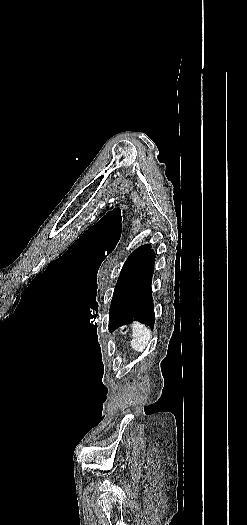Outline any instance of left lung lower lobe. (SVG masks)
Wrapping results in <instances>:
<instances>
[{
  "label": "left lung lower lobe",
  "instance_id": "obj_1",
  "mask_svg": "<svg viewBox=\"0 0 247 525\" xmlns=\"http://www.w3.org/2000/svg\"><path fill=\"white\" fill-rule=\"evenodd\" d=\"M154 262L141 277L110 307L109 327L119 326L140 320L154 327L155 313L152 300L151 279Z\"/></svg>",
  "mask_w": 247,
  "mask_h": 525
}]
</instances>
